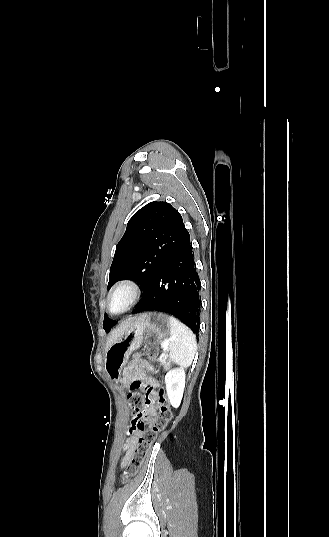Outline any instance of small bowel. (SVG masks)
Segmentation results:
<instances>
[{"mask_svg": "<svg viewBox=\"0 0 329 537\" xmlns=\"http://www.w3.org/2000/svg\"><path fill=\"white\" fill-rule=\"evenodd\" d=\"M153 366L142 357H134L128 364L124 372V383L129 384L126 393L129 396L134 395L135 391H140L144 384L149 393V402L145 408L146 419L149 422L155 420L158 415L157 394L159 389V381L152 375ZM140 431L135 427L132 421L129 428V436L124 442L123 453L120 462V467L125 468L131 461L135 448L138 444Z\"/></svg>", "mask_w": 329, "mask_h": 537, "instance_id": "obj_1", "label": "small bowel"}]
</instances>
